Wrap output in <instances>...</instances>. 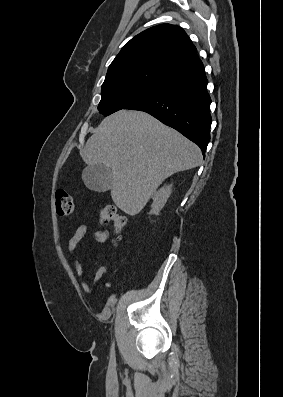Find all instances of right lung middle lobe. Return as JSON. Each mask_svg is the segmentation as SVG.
I'll return each mask as SVG.
<instances>
[{"instance_id": "right-lung-middle-lobe-1", "label": "right lung middle lobe", "mask_w": 283, "mask_h": 397, "mask_svg": "<svg viewBox=\"0 0 283 397\" xmlns=\"http://www.w3.org/2000/svg\"><path fill=\"white\" fill-rule=\"evenodd\" d=\"M168 83L144 73L115 74L105 78L98 110L108 116L124 109L145 95Z\"/></svg>"}]
</instances>
